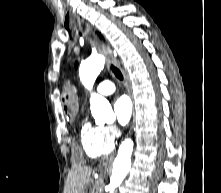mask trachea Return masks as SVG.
<instances>
[{
  "mask_svg": "<svg viewBox=\"0 0 221 193\" xmlns=\"http://www.w3.org/2000/svg\"><path fill=\"white\" fill-rule=\"evenodd\" d=\"M110 69L112 70V72L114 73V75L119 79V80H123V75L121 73V71L116 68L115 66L111 65Z\"/></svg>",
  "mask_w": 221,
  "mask_h": 193,
  "instance_id": "obj_1",
  "label": "trachea"
}]
</instances>
